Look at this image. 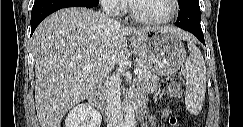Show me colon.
<instances>
[{
    "label": "colon",
    "instance_id": "1",
    "mask_svg": "<svg viewBox=\"0 0 243 127\" xmlns=\"http://www.w3.org/2000/svg\"><path fill=\"white\" fill-rule=\"evenodd\" d=\"M167 96L171 100H175V101H180L182 99L183 97L182 88L178 82H171L169 84L167 88ZM169 123L170 125L175 126L177 124V118L175 116H172L169 119Z\"/></svg>",
    "mask_w": 243,
    "mask_h": 127
}]
</instances>
